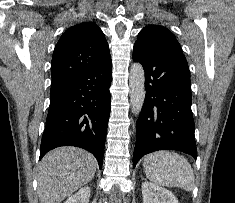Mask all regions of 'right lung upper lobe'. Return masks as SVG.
<instances>
[{"instance_id":"1","label":"right lung upper lobe","mask_w":235,"mask_h":203,"mask_svg":"<svg viewBox=\"0 0 235 203\" xmlns=\"http://www.w3.org/2000/svg\"><path fill=\"white\" fill-rule=\"evenodd\" d=\"M108 58V43L100 28L92 22L76 24L67 29L56 44L51 86L61 84Z\"/></svg>"}]
</instances>
